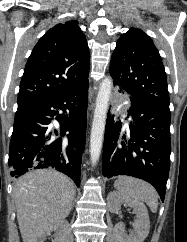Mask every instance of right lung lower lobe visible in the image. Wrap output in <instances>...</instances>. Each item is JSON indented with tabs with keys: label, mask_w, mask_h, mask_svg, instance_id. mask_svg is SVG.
Returning a JSON list of instances; mask_svg holds the SVG:
<instances>
[{
	"label": "right lung lower lobe",
	"mask_w": 187,
	"mask_h": 242,
	"mask_svg": "<svg viewBox=\"0 0 187 242\" xmlns=\"http://www.w3.org/2000/svg\"><path fill=\"white\" fill-rule=\"evenodd\" d=\"M87 102L88 81L18 106L9 148L11 175L19 177L31 169L52 167L79 187ZM53 117L58 130L50 127Z\"/></svg>",
	"instance_id": "obj_1"
}]
</instances>
